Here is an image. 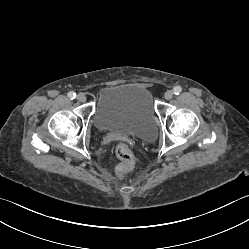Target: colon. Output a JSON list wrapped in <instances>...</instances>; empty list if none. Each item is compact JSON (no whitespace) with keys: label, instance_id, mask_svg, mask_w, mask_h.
Masks as SVG:
<instances>
[{"label":"colon","instance_id":"5ec220e1","mask_svg":"<svg viewBox=\"0 0 249 249\" xmlns=\"http://www.w3.org/2000/svg\"><path fill=\"white\" fill-rule=\"evenodd\" d=\"M116 154L121 161L117 168L118 173L131 171L134 167V157L129 146L126 143H119Z\"/></svg>","mask_w":249,"mask_h":249}]
</instances>
